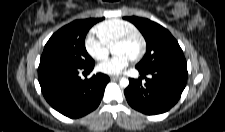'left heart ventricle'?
<instances>
[{"label":"left heart ventricle","mask_w":225,"mask_h":132,"mask_svg":"<svg viewBox=\"0 0 225 132\" xmlns=\"http://www.w3.org/2000/svg\"><path fill=\"white\" fill-rule=\"evenodd\" d=\"M140 50V41L138 39H134L126 44H119L113 47L114 54H127L131 58L134 57L138 51Z\"/></svg>","instance_id":"obj_1"}]
</instances>
